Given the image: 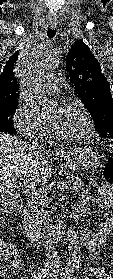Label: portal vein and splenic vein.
I'll list each match as a JSON object with an SVG mask.
<instances>
[{
	"mask_svg": "<svg viewBox=\"0 0 113 279\" xmlns=\"http://www.w3.org/2000/svg\"><path fill=\"white\" fill-rule=\"evenodd\" d=\"M19 180H20V182H24L25 183L24 176H22L21 174L19 175ZM28 188L32 191V193L35 196L39 195V193L41 192V190H38L34 185H30V186H28Z\"/></svg>",
	"mask_w": 113,
	"mask_h": 279,
	"instance_id": "portal-vein-and-splenic-vein-1",
	"label": "portal vein and splenic vein"
}]
</instances>
